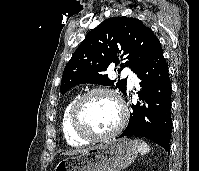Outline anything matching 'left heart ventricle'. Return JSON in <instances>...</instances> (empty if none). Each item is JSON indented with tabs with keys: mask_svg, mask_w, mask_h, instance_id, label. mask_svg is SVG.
I'll return each mask as SVG.
<instances>
[{
	"mask_svg": "<svg viewBox=\"0 0 199 171\" xmlns=\"http://www.w3.org/2000/svg\"><path fill=\"white\" fill-rule=\"evenodd\" d=\"M120 115L118 104L106 94L90 97L83 108L85 125L95 134H104L113 130L119 123Z\"/></svg>",
	"mask_w": 199,
	"mask_h": 171,
	"instance_id": "1",
	"label": "left heart ventricle"
}]
</instances>
